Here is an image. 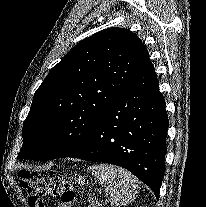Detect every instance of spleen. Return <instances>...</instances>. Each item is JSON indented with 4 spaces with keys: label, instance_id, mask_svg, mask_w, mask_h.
I'll list each match as a JSON object with an SVG mask.
<instances>
[{
    "label": "spleen",
    "instance_id": "3e777b00",
    "mask_svg": "<svg viewBox=\"0 0 206 207\" xmlns=\"http://www.w3.org/2000/svg\"><path fill=\"white\" fill-rule=\"evenodd\" d=\"M88 171L100 180L112 206H125L136 198L139 181L127 170L108 164H96L88 167Z\"/></svg>",
    "mask_w": 206,
    "mask_h": 207
}]
</instances>
